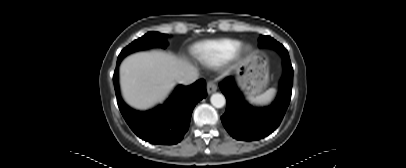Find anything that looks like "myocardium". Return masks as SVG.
<instances>
[{
  "label": "myocardium",
  "mask_w": 406,
  "mask_h": 168,
  "mask_svg": "<svg viewBox=\"0 0 406 168\" xmlns=\"http://www.w3.org/2000/svg\"><path fill=\"white\" fill-rule=\"evenodd\" d=\"M249 51H250V47H249V46L240 47L239 50H238V52H237V54H236V57H239V56H241V55H243V54H246V53H248Z\"/></svg>",
  "instance_id": "f54148a6"
}]
</instances>
